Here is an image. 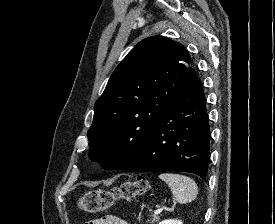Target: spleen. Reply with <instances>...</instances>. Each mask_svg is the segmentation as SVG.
I'll return each mask as SVG.
<instances>
[{
  "mask_svg": "<svg viewBox=\"0 0 275 224\" xmlns=\"http://www.w3.org/2000/svg\"><path fill=\"white\" fill-rule=\"evenodd\" d=\"M159 178L168 184L179 203H188L197 197L198 187L193 179L175 173H162Z\"/></svg>",
  "mask_w": 275,
  "mask_h": 224,
  "instance_id": "3e777b00",
  "label": "spleen"
}]
</instances>
